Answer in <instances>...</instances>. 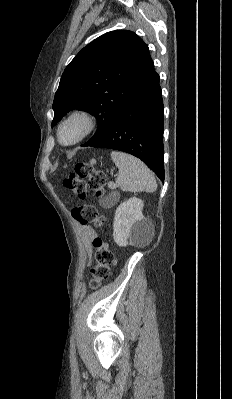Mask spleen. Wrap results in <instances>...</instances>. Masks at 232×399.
<instances>
[{
    "label": "spleen",
    "mask_w": 232,
    "mask_h": 399,
    "mask_svg": "<svg viewBox=\"0 0 232 399\" xmlns=\"http://www.w3.org/2000/svg\"><path fill=\"white\" fill-rule=\"evenodd\" d=\"M111 158L119 170L117 188L123 192H156L157 182L141 160L123 152H111Z\"/></svg>",
    "instance_id": "1"
}]
</instances>
